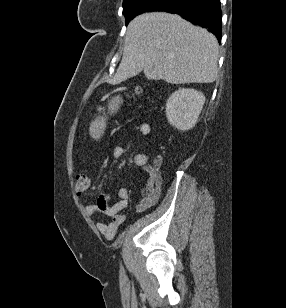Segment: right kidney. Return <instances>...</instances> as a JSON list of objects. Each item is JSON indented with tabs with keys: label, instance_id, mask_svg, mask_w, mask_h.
I'll return each instance as SVG.
<instances>
[{
	"label": "right kidney",
	"instance_id": "1",
	"mask_svg": "<svg viewBox=\"0 0 286 308\" xmlns=\"http://www.w3.org/2000/svg\"><path fill=\"white\" fill-rule=\"evenodd\" d=\"M205 102V96L194 89H179L166 103L168 122L177 129L188 130L195 126Z\"/></svg>",
	"mask_w": 286,
	"mask_h": 308
}]
</instances>
